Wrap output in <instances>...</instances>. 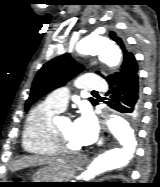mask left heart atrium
Wrapping results in <instances>:
<instances>
[{"label":"left heart atrium","mask_w":160,"mask_h":187,"mask_svg":"<svg viewBox=\"0 0 160 187\" xmlns=\"http://www.w3.org/2000/svg\"><path fill=\"white\" fill-rule=\"evenodd\" d=\"M73 132L81 146L93 143L98 135V127L93 115L88 111L82 112L73 122Z\"/></svg>","instance_id":"obj_1"}]
</instances>
